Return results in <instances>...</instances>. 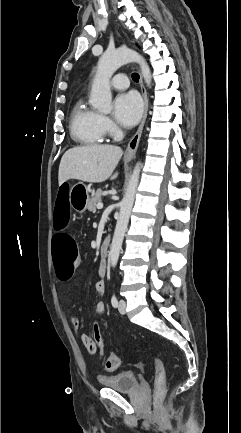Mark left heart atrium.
<instances>
[{
  "label": "left heart atrium",
  "instance_id": "obj_1",
  "mask_svg": "<svg viewBox=\"0 0 241 433\" xmlns=\"http://www.w3.org/2000/svg\"><path fill=\"white\" fill-rule=\"evenodd\" d=\"M143 103L136 92L118 95L114 101V116L125 127L134 126L140 119Z\"/></svg>",
  "mask_w": 241,
  "mask_h": 433
}]
</instances>
